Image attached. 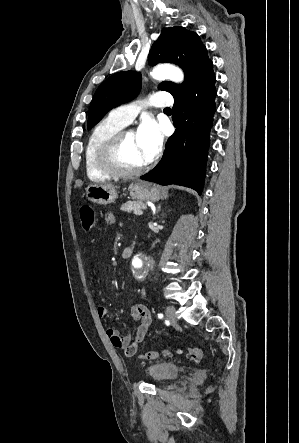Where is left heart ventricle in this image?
<instances>
[{
	"label": "left heart ventricle",
	"instance_id": "b2bd125f",
	"mask_svg": "<svg viewBox=\"0 0 299 443\" xmlns=\"http://www.w3.org/2000/svg\"><path fill=\"white\" fill-rule=\"evenodd\" d=\"M119 163L125 168H137L145 164L142 150L137 140V134L130 131L122 144Z\"/></svg>",
	"mask_w": 299,
	"mask_h": 443
}]
</instances>
